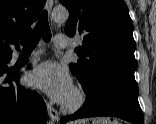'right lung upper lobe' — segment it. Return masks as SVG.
<instances>
[{
	"label": "right lung upper lobe",
	"instance_id": "right-lung-upper-lobe-1",
	"mask_svg": "<svg viewBox=\"0 0 156 124\" xmlns=\"http://www.w3.org/2000/svg\"><path fill=\"white\" fill-rule=\"evenodd\" d=\"M46 0H0V57L12 54L11 47L31 31Z\"/></svg>",
	"mask_w": 156,
	"mask_h": 124
}]
</instances>
